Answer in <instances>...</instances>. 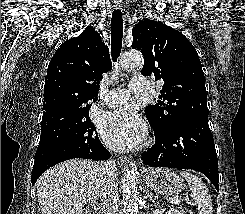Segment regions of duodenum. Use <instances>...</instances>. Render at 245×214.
Returning a JSON list of instances; mask_svg holds the SVG:
<instances>
[{"instance_id": "obj_1", "label": "duodenum", "mask_w": 245, "mask_h": 214, "mask_svg": "<svg viewBox=\"0 0 245 214\" xmlns=\"http://www.w3.org/2000/svg\"><path fill=\"white\" fill-rule=\"evenodd\" d=\"M87 214H101V210L97 205H92L88 208Z\"/></svg>"}]
</instances>
